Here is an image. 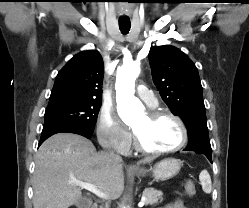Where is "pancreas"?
<instances>
[{"label":"pancreas","mask_w":249,"mask_h":208,"mask_svg":"<svg viewBox=\"0 0 249 208\" xmlns=\"http://www.w3.org/2000/svg\"><path fill=\"white\" fill-rule=\"evenodd\" d=\"M162 191L156 190L154 188H146L143 191V196L145 197V205H153L162 199Z\"/></svg>","instance_id":"obj_1"}]
</instances>
